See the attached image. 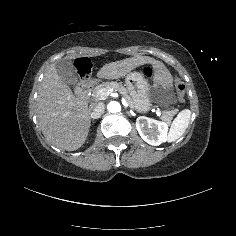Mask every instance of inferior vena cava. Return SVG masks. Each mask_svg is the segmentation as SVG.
<instances>
[{
  "instance_id": "602c4592",
  "label": "inferior vena cava",
  "mask_w": 236,
  "mask_h": 236,
  "mask_svg": "<svg viewBox=\"0 0 236 236\" xmlns=\"http://www.w3.org/2000/svg\"><path fill=\"white\" fill-rule=\"evenodd\" d=\"M104 110H105V105L104 103L100 102L91 108L90 117L92 119H97L101 117V115L104 113Z\"/></svg>"
}]
</instances>
